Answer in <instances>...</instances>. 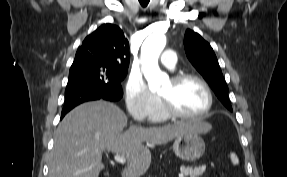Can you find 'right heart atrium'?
<instances>
[{"instance_id": "obj_1", "label": "right heart atrium", "mask_w": 287, "mask_h": 177, "mask_svg": "<svg viewBox=\"0 0 287 177\" xmlns=\"http://www.w3.org/2000/svg\"><path fill=\"white\" fill-rule=\"evenodd\" d=\"M124 100L128 112L138 122L151 120L159 107V99L152 93L139 75H130L124 88Z\"/></svg>"}]
</instances>
